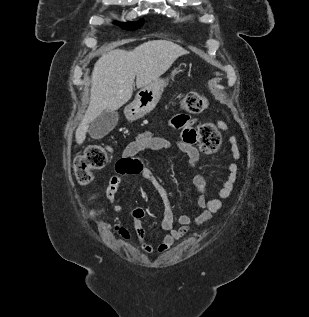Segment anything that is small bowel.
Returning <instances> with one entry per match:
<instances>
[{
	"label": "small bowel",
	"instance_id": "small-bowel-1",
	"mask_svg": "<svg viewBox=\"0 0 309 317\" xmlns=\"http://www.w3.org/2000/svg\"><path fill=\"white\" fill-rule=\"evenodd\" d=\"M194 120L187 115L180 114L171 119L172 128L180 131V138L175 142H171L158 133L147 131L139 134L133 141L127 144L123 149L120 159L116 163V173L109 177L105 190L108 201L115 210H119L116 204V194L121 183L122 177L129 174H141L145 179L152 183H156L153 172L144 165L143 160L138 156L143 151H172L175 153L185 154L188 158L189 166L193 167L199 159V150L196 143L199 141L198 134L193 127ZM218 126L222 130H227L228 126L223 121H218ZM229 148L232 153L234 162L226 165L227 175L218 190L217 197L211 200L206 199V181L204 177L196 173L193 183L196 187L197 198L194 209L191 214H183L177 218L179 226L174 225L175 217L172 207L168 204L162 219L161 228L167 232L158 244L156 251L165 253L171 249L175 242L182 239L190 231V224L202 225L209 221L213 214L216 213L223 205V200L228 198L235 187L238 179L239 166L236 161L240 159L241 153L238 146V140L232 136L228 140ZM163 195H167L165 189L160 187ZM145 211L141 207H137L132 211L133 226L137 234V240L142 250L147 254L155 251L152 239L146 233L142 220Z\"/></svg>",
	"mask_w": 309,
	"mask_h": 317
}]
</instances>
